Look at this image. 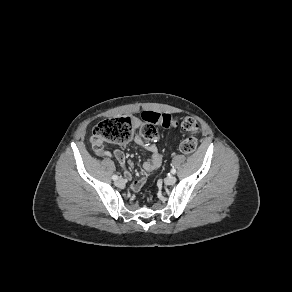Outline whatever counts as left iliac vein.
<instances>
[{"label": "left iliac vein", "mask_w": 292, "mask_h": 292, "mask_svg": "<svg viewBox=\"0 0 292 292\" xmlns=\"http://www.w3.org/2000/svg\"><path fill=\"white\" fill-rule=\"evenodd\" d=\"M176 182V177L174 176H168L167 178H165L164 183L166 185H173Z\"/></svg>", "instance_id": "left-iliac-vein-1"}]
</instances>
